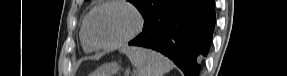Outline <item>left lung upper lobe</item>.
<instances>
[{"instance_id":"5c2ea615","label":"left lung upper lobe","mask_w":287,"mask_h":76,"mask_svg":"<svg viewBox=\"0 0 287 76\" xmlns=\"http://www.w3.org/2000/svg\"><path fill=\"white\" fill-rule=\"evenodd\" d=\"M133 3L144 17V23L154 13L161 10L173 0H128Z\"/></svg>"}]
</instances>
